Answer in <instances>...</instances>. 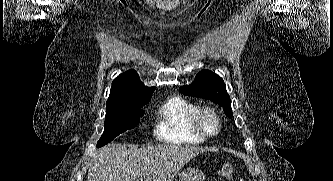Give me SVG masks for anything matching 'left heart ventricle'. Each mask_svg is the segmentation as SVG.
<instances>
[{
	"label": "left heart ventricle",
	"instance_id": "1",
	"mask_svg": "<svg viewBox=\"0 0 333 181\" xmlns=\"http://www.w3.org/2000/svg\"><path fill=\"white\" fill-rule=\"evenodd\" d=\"M204 127L207 131L213 132L215 131L216 128V122L211 116H207L204 119Z\"/></svg>",
	"mask_w": 333,
	"mask_h": 181
}]
</instances>
